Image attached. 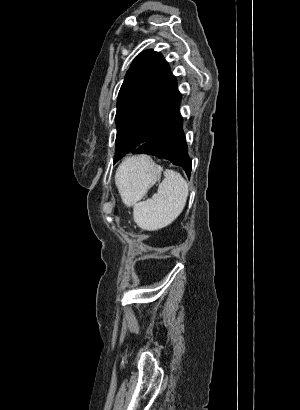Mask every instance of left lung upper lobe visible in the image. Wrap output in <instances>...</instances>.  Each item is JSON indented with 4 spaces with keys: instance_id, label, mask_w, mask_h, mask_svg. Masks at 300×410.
Returning <instances> with one entry per match:
<instances>
[{
    "instance_id": "1",
    "label": "left lung upper lobe",
    "mask_w": 300,
    "mask_h": 410,
    "mask_svg": "<svg viewBox=\"0 0 300 410\" xmlns=\"http://www.w3.org/2000/svg\"><path fill=\"white\" fill-rule=\"evenodd\" d=\"M180 100L176 79L162 55L153 50L140 53L117 99L114 163L141 147Z\"/></svg>"
}]
</instances>
